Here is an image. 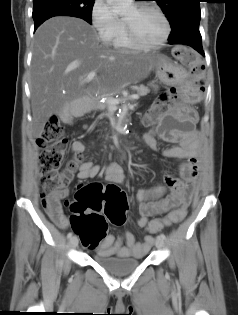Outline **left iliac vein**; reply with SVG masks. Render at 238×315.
Here are the masks:
<instances>
[{
	"label": "left iliac vein",
	"mask_w": 238,
	"mask_h": 315,
	"mask_svg": "<svg viewBox=\"0 0 238 315\" xmlns=\"http://www.w3.org/2000/svg\"><path fill=\"white\" fill-rule=\"evenodd\" d=\"M155 245L158 249H162L164 247V240L160 237H157Z\"/></svg>",
	"instance_id": "1"
}]
</instances>
